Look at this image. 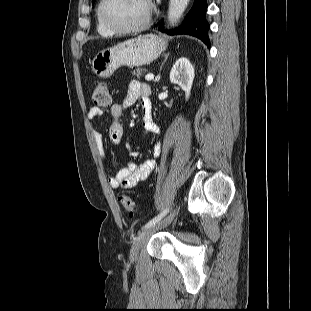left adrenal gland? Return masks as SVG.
Instances as JSON below:
<instances>
[{
  "instance_id": "left-adrenal-gland-1",
  "label": "left adrenal gland",
  "mask_w": 311,
  "mask_h": 311,
  "mask_svg": "<svg viewBox=\"0 0 311 311\" xmlns=\"http://www.w3.org/2000/svg\"><path fill=\"white\" fill-rule=\"evenodd\" d=\"M168 56H169V53H167V54L165 55V59H164V61H163L162 65L166 62V60H167Z\"/></svg>"
}]
</instances>
